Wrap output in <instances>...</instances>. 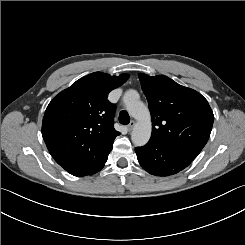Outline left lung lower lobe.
<instances>
[{"label": "left lung lower lobe", "mask_w": 245, "mask_h": 245, "mask_svg": "<svg viewBox=\"0 0 245 245\" xmlns=\"http://www.w3.org/2000/svg\"><path fill=\"white\" fill-rule=\"evenodd\" d=\"M135 152L142 168L155 176L174 175L194 160L174 148L153 140H149L143 147L135 148Z\"/></svg>", "instance_id": "1"}]
</instances>
